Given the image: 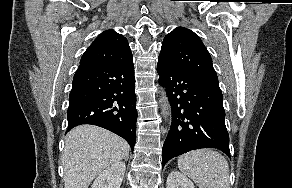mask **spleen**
I'll list each match as a JSON object with an SVG mask.
<instances>
[{
	"mask_svg": "<svg viewBox=\"0 0 292 188\" xmlns=\"http://www.w3.org/2000/svg\"><path fill=\"white\" fill-rule=\"evenodd\" d=\"M178 168L199 188H230L228 162L211 149L194 150L180 156Z\"/></svg>",
	"mask_w": 292,
	"mask_h": 188,
	"instance_id": "spleen-1",
	"label": "spleen"
}]
</instances>
